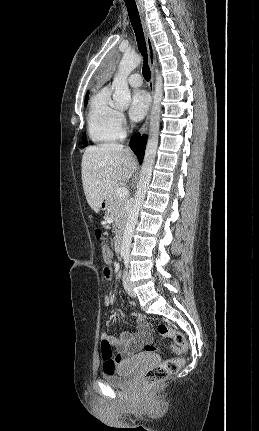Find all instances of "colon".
Listing matches in <instances>:
<instances>
[{"mask_svg": "<svg viewBox=\"0 0 259 431\" xmlns=\"http://www.w3.org/2000/svg\"><path fill=\"white\" fill-rule=\"evenodd\" d=\"M103 236H104L103 232L100 229H96L95 231L96 239L98 241H102ZM102 255L105 262L104 268L107 267L111 271L112 256L108 248L105 246L102 247ZM157 331L160 336L164 338H171L174 341L176 346L171 347V351L173 353L179 354L181 351L183 352L187 351L188 349L187 341L185 339V336L180 331L164 323H160L158 325ZM145 350L155 351L156 347L153 345H146ZM101 351L103 356L108 357L112 354V346L110 345L109 342L103 341L101 343ZM183 364H184V359L182 357H173V358L166 359L159 365L147 370L142 377V383L145 387L150 388L158 384L159 382L165 380L170 375H173L176 372H178V370L183 366ZM114 369L115 368L113 367V365H106L104 367V371H108V372L114 371Z\"/></svg>", "mask_w": 259, "mask_h": 431, "instance_id": "colon-1", "label": "colon"}]
</instances>
